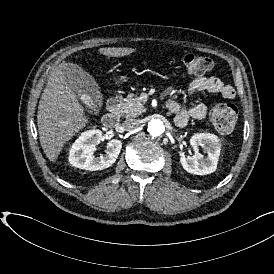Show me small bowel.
Instances as JSON below:
<instances>
[{
    "label": "small bowel",
    "instance_id": "small-bowel-1",
    "mask_svg": "<svg viewBox=\"0 0 274 274\" xmlns=\"http://www.w3.org/2000/svg\"><path fill=\"white\" fill-rule=\"evenodd\" d=\"M218 93L226 100L236 97L235 88L217 77H197L191 81L188 93L191 96L199 92ZM168 110L174 114V122L177 126L183 127L189 119L203 120L207 114V106L204 103H196L189 109H184L175 100L167 102Z\"/></svg>",
    "mask_w": 274,
    "mask_h": 274
}]
</instances>
